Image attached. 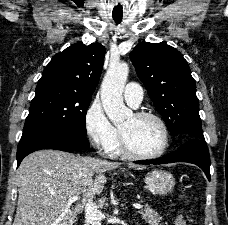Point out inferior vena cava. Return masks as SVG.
I'll return each instance as SVG.
<instances>
[{
  "instance_id": "obj_1",
  "label": "inferior vena cava",
  "mask_w": 228,
  "mask_h": 225,
  "mask_svg": "<svg viewBox=\"0 0 228 225\" xmlns=\"http://www.w3.org/2000/svg\"><path fill=\"white\" fill-rule=\"evenodd\" d=\"M93 197L94 193H92V195H89L88 201L86 203L85 225H101V221L103 219V215L99 207L93 203Z\"/></svg>"
}]
</instances>
